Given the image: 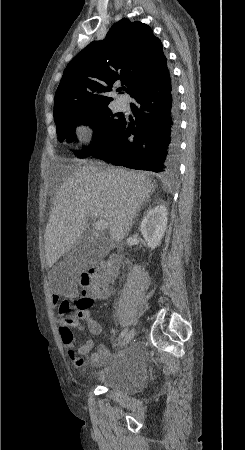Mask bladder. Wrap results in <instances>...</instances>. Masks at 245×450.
<instances>
[{
	"label": "bladder",
	"instance_id": "1",
	"mask_svg": "<svg viewBox=\"0 0 245 450\" xmlns=\"http://www.w3.org/2000/svg\"><path fill=\"white\" fill-rule=\"evenodd\" d=\"M83 372L86 382L124 395L137 394L147 378L142 360L131 358H116L99 367H83Z\"/></svg>",
	"mask_w": 245,
	"mask_h": 450
}]
</instances>
